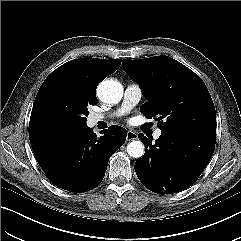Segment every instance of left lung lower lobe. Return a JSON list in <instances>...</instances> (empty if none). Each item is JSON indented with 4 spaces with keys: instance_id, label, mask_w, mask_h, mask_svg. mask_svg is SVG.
<instances>
[{
    "instance_id": "obj_1",
    "label": "left lung lower lobe",
    "mask_w": 241,
    "mask_h": 241,
    "mask_svg": "<svg viewBox=\"0 0 241 241\" xmlns=\"http://www.w3.org/2000/svg\"><path fill=\"white\" fill-rule=\"evenodd\" d=\"M161 131L155 144L151 137L139 134L146 151L134 168L149 190L158 194L181 192L191 186L207 166L216 138L188 131Z\"/></svg>"
}]
</instances>
